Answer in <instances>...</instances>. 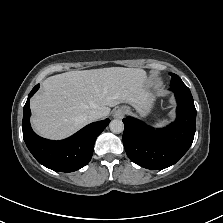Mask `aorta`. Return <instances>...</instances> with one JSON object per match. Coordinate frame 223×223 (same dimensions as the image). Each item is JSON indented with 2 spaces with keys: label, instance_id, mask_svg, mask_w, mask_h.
<instances>
[{
  "label": "aorta",
  "instance_id": "aorta-1",
  "mask_svg": "<svg viewBox=\"0 0 223 223\" xmlns=\"http://www.w3.org/2000/svg\"><path fill=\"white\" fill-rule=\"evenodd\" d=\"M109 128L113 133H121L124 129V124L122 120L115 119L110 122Z\"/></svg>",
  "mask_w": 223,
  "mask_h": 223
}]
</instances>
